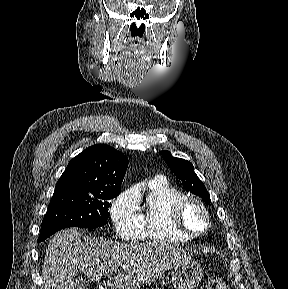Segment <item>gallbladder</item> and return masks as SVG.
I'll return each instance as SVG.
<instances>
[{
    "label": "gallbladder",
    "instance_id": "obj_1",
    "mask_svg": "<svg viewBox=\"0 0 288 289\" xmlns=\"http://www.w3.org/2000/svg\"><path fill=\"white\" fill-rule=\"evenodd\" d=\"M83 284H84L83 280H79V279L76 280V285L77 286L83 285Z\"/></svg>",
    "mask_w": 288,
    "mask_h": 289
}]
</instances>
